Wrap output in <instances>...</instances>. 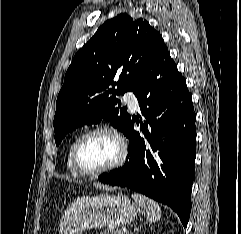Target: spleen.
Returning <instances> with one entry per match:
<instances>
[{"mask_svg": "<svg viewBox=\"0 0 241 234\" xmlns=\"http://www.w3.org/2000/svg\"><path fill=\"white\" fill-rule=\"evenodd\" d=\"M132 198L139 204V206H141L146 210L147 219L150 222H155L160 220L161 209L157 202H155L154 200L144 195L136 194V193L132 194Z\"/></svg>", "mask_w": 241, "mask_h": 234, "instance_id": "spleen-1", "label": "spleen"}]
</instances>
